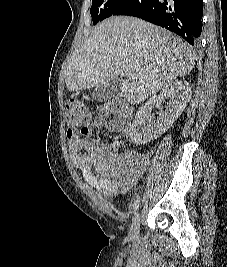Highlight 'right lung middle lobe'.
I'll return each instance as SVG.
<instances>
[{
  "mask_svg": "<svg viewBox=\"0 0 227 267\" xmlns=\"http://www.w3.org/2000/svg\"><path fill=\"white\" fill-rule=\"evenodd\" d=\"M129 0H92L90 9L93 24L110 17L121 9Z\"/></svg>",
  "mask_w": 227,
  "mask_h": 267,
  "instance_id": "right-lung-middle-lobe-1",
  "label": "right lung middle lobe"
}]
</instances>
